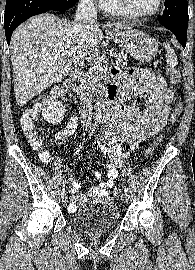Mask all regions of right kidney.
Here are the masks:
<instances>
[{"label":"right kidney","instance_id":"1","mask_svg":"<svg viewBox=\"0 0 195 270\" xmlns=\"http://www.w3.org/2000/svg\"><path fill=\"white\" fill-rule=\"evenodd\" d=\"M42 108V117L48 123L58 124L65 115L66 109L60 101H45Z\"/></svg>","mask_w":195,"mask_h":270}]
</instances>
